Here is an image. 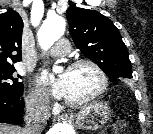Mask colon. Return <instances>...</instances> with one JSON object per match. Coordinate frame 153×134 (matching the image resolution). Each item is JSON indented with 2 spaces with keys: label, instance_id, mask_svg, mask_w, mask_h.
<instances>
[{
  "label": "colon",
  "instance_id": "1",
  "mask_svg": "<svg viewBox=\"0 0 153 134\" xmlns=\"http://www.w3.org/2000/svg\"><path fill=\"white\" fill-rule=\"evenodd\" d=\"M102 134H119L118 128L114 125L106 127Z\"/></svg>",
  "mask_w": 153,
  "mask_h": 134
}]
</instances>
